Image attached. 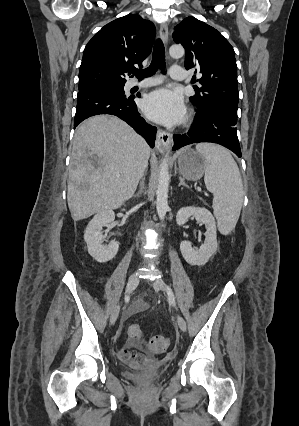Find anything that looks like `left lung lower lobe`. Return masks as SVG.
<instances>
[{"label": "left lung lower lobe", "instance_id": "left-lung-lower-lobe-1", "mask_svg": "<svg viewBox=\"0 0 299 426\" xmlns=\"http://www.w3.org/2000/svg\"><path fill=\"white\" fill-rule=\"evenodd\" d=\"M237 116L221 108H211L195 115V123L187 134L174 135L173 150L200 142L220 144L241 157L237 137Z\"/></svg>", "mask_w": 299, "mask_h": 426}]
</instances>
